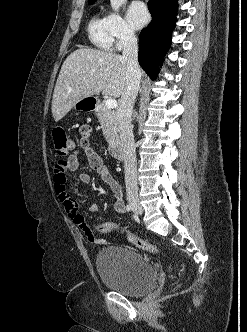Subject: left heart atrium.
<instances>
[{"instance_id":"39dd6f15","label":"left heart atrium","mask_w":247,"mask_h":332,"mask_svg":"<svg viewBox=\"0 0 247 332\" xmlns=\"http://www.w3.org/2000/svg\"><path fill=\"white\" fill-rule=\"evenodd\" d=\"M127 17L131 26L139 29L148 22L149 13L144 3L135 1L129 6Z\"/></svg>"}]
</instances>
